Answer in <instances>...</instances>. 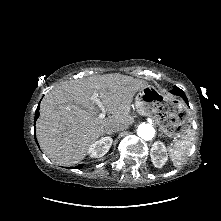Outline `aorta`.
<instances>
[{"label": "aorta", "mask_w": 221, "mask_h": 221, "mask_svg": "<svg viewBox=\"0 0 221 221\" xmlns=\"http://www.w3.org/2000/svg\"><path fill=\"white\" fill-rule=\"evenodd\" d=\"M137 133L143 140H151L155 135V129L149 123H142L139 125Z\"/></svg>", "instance_id": "obj_1"}]
</instances>
